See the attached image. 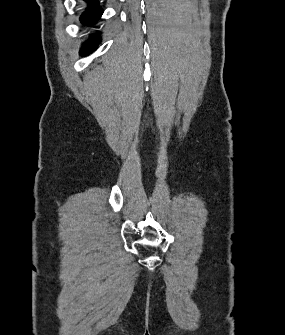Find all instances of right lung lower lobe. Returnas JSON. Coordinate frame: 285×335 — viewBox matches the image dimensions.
I'll return each mask as SVG.
<instances>
[{"label":"right lung lower lobe","mask_w":285,"mask_h":335,"mask_svg":"<svg viewBox=\"0 0 285 335\" xmlns=\"http://www.w3.org/2000/svg\"><path fill=\"white\" fill-rule=\"evenodd\" d=\"M87 3V8L82 13L80 21L82 24L92 26L101 17L103 10L98 4V0H84ZM98 35H92L90 39L83 45L81 50L82 55H86L94 51L99 43Z\"/></svg>","instance_id":"right-lung-lower-lobe-1"}]
</instances>
